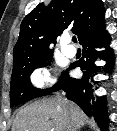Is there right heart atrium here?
I'll list each match as a JSON object with an SVG mask.
<instances>
[{
	"instance_id": "d8ad5b80",
	"label": "right heart atrium",
	"mask_w": 117,
	"mask_h": 131,
	"mask_svg": "<svg viewBox=\"0 0 117 131\" xmlns=\"http://www.w3.org/2000/svg\"><path fill=\"white\" fill-rule=\"evenodd\" d=\"M31 82L35 87L42 88L52 85L55 79L52 77L50 70L46 67L36 69L31 74Z\"/></svg>"
}]
</instances>
